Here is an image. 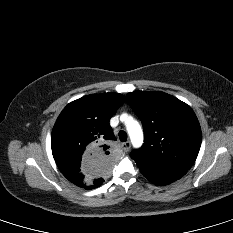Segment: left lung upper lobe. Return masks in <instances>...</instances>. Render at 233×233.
Wrapping results in <instances>:
<instances>
[{
	"label": "left lung upper lobe",
	"mask_w": 233,
	"mask_h": 233,
	"mask_svg": "<svg viewBox=\"0 0 233 233\" xmlns=\"http://www.w3.org/2000/svg\"><path fill=\"white\" fill-rule=\"evenodd\" d=\"M127 101L142 121L145 142L131 158L155 167L190 169L202 139L190 106L161 91L130 92Z\"/></svg>",
	"instance_id": "left-lung-upper-lobe-1"
}]
</instances>
